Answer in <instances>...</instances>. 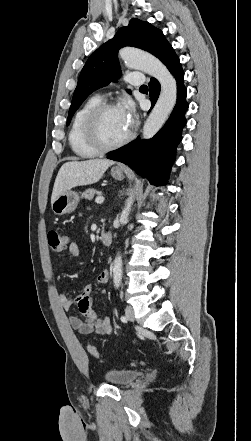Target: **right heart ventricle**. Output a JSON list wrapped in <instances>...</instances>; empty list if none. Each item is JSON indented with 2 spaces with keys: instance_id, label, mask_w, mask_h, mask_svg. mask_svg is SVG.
<instances>
[{
  "instance_id": "e07e8e85",
  "label": "right heart ventricle",
  "mask_w": 251,
  "mask_h": 441,
  "mask_svg": "<svg viewBox=\"0 0 251 441\" xmlns=\"http://www.w3.org/2000/svg\"><path fill=\"white\" fill-rule=\"evenodd\" d=\"M101 103L102 99L99 96H92L82 104L73 117L68 140L72 151L80 158H93L100 153L91 147L86 140L85 122L89 113Z\"/></svg>"
}]
</instances>
